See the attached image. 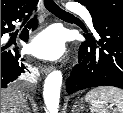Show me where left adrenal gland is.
<instances>
[{"label":"left adrenal gland","instance_id":"left-adrenal-gland-1","mask_svg":"<svg viewBox=\"0 0 123 113\" xmlns=\"http://www.w3.org/2000/svg\"><path fill=\"white\" fill-rule=\"evenodd\" d=\"M84 107L81 108L80 111H83ZM79 110H77V112L79 113L80 112ZM72 112H75V111H72Z\"/></svg>","mask_w":123,"mask_h":113}]
</instances>
